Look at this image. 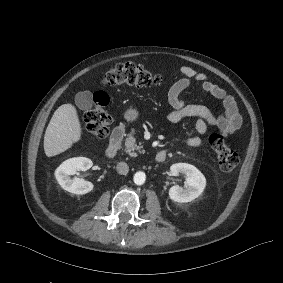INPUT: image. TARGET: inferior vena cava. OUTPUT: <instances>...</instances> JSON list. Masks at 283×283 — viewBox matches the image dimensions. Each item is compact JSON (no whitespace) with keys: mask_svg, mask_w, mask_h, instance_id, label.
I'll list each match as a JSON object with an SVG mask.
<instances>
[{"mask_svg":"<svg viewBox=\"0 0 283 283\" xmlns=\"http://www.w3.org/2000/svg\"><path fill=\"white\" fill-rule=\"evenodd\" d=\"M116 169H117V172L121 175H126L129 171V167L127 163L125 162L118 163Z\"/></svg>","mask_w":283,"mask_h":283,"instance_id":"602c4592","label":"inferior vena cava"}]
</instances>
